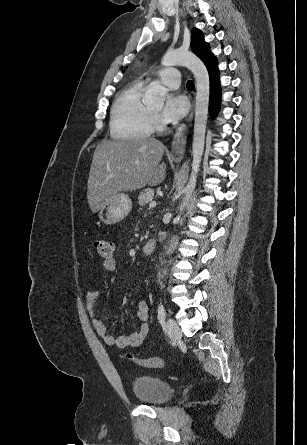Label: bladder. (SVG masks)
Segmentation results:
<instances>
[{"label":"bladder","instance_id":"1","mask_svg":"<svg viewBox=\"0 0 307 445\" xmlns=\"http://www.w3.org/2000/svg\"><path fill=\"white\" fill-rule=\"evenodd\" d=\"M135 398L148 406L166 403L173 395V387L166 381L154 376H141L132 383Z\"/></svg>","mask_w":307,"mask_h":445}]
</instances>
